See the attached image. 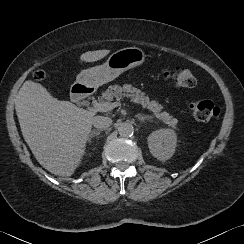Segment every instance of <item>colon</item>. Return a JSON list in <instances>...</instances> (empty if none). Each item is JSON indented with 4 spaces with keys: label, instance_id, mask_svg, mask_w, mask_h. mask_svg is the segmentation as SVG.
<instances>
[{
    "label": "colon",
    "instance_id": "obj_1",
    "mask_svg": "<svg viewBox=\"0 0 244 244\" xmlns=\"http://www.w3.org/2000/svg\"><path fill=\"white\" fill-rule=\"evenodd\" d=\"M163 77L173 82L177 87L191 88L196 84L194 75L188 69L179 66L167 69L163 73ZM42 78L43 75L40 72L35 75L36 80ZM189 108L195 119L201 122L216 120L221 114L220 108L208 100L192 101L189 103Z\"/></svg>",
    "mask_w": 244,
    "mask_h": 244
}]
</instances>
